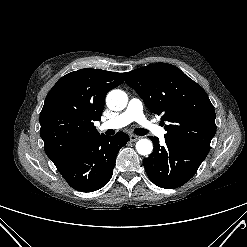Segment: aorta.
I'll return each instance as SVG.
<instances>
[{
    "mask_svg": "<svg viewBox=\"0 0 247 247\" xmlns=\"http://www.w3.org/2000/svg\"><path fill=\"white\" fill-rule=\"evenodd\" d=\"M106 103L109 109L121 111L127 106L128 96L124 91L115 89L107 94ZM136 150L139 154L147 156L152 153L153 144L149 139H140L136 143Z\"/></svg>",
    "mask_w": 247,
    "mask_h": 247,
    "instance_id": "obj_1",
    "label": "aorta"
}]
</instances>
